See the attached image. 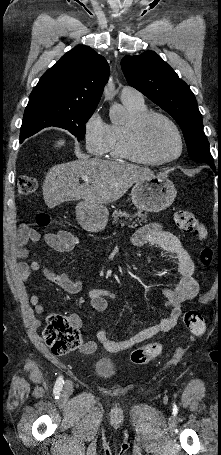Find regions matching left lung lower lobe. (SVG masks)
Segmentation results:
<instances>
[{"instance_id": "left-lung-lower-lobe-1", "label": "left lung lower lobe", "mask_w": 221, "mask_h": 455, "mask_svg": "<svg viewBox=\"0 0 221 455\" xmlns=\"http://www.w3.org/2000/svg\"><path fill=\"white\" fill-rule=\"evenodd\" d=\"M207 164L213 169V171H215V165L213 161H210Z\"/></svg>"}]
</instances>
